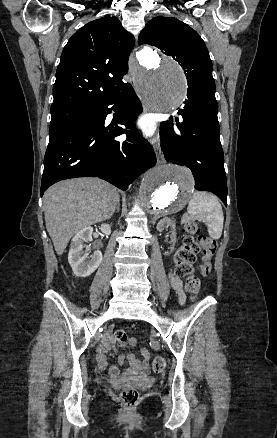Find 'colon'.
<instances>
[{
    "instance_id": "5ec220e1",
    "label": "colon",
    "mask_w": 277,
    "mask_h": 438,
    "mask_svg": "<svg viewBox=\"0 0 277 438\" xmlns=\"http://www.w3.org/2000/svg\"><path fill=\"white\" fill-rule=\"evenodd\" d=\"M181 230L184 236L182 244L175 254L176 273L180 278H184L186 291L192 297H196L201 289V281L192 275L197 269L194 265L196 256L199 253L204 256L205 259L200 265V269L207 274L211 268L210 258L214 254L216 246L210 237L200 235V225L196 222L183 220ZM114 335L120 344H135L134 339L128 338L126 332L122 329H116ZM164 366L162 357H155L153 359L152 369L155 373H161ZM116 397L121 398L125 409H138L141 390L117 389Z\"/></svg>"
}]
</instances>
